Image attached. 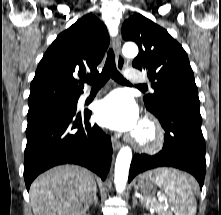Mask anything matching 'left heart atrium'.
I'll return each instance as SVG.
<instances>
[{
	"instance_id": "39dd6f15",
	"label": "left heart atrium",
	"mask_w": 221,
	"mask_h": 215,
	"mask_svg": "<svg viewBox=\"0 0 221 215\" xmlns=\"http://www.w3.org/2000/svg\"><path fill=\"white\" fill-rule=\"evenodd\" d=\"M99 124L121 132L139 129L138 108L133 99L123 91H115L99 101L95 108Z\"/></svg>"
}]
</instances>
